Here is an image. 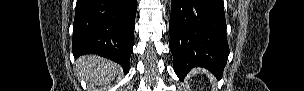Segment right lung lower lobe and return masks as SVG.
<instances>
[{
	"mask_svg": "<svg viewBox=\"0 0 304 91\" xmlns=\"http://www.w3.org/2000/svg\"><path fill=\"white\" fill-rule=\"evenodd\" d=\"M136 0H77L72 52L75 58L97 54L129 71Z\"/></svg>",
	"mask_w": 304,
	"mask_h": 91,
	"instance_id": "obj_1",
	"label": "right lung lower lobe"
}]
</instances>
